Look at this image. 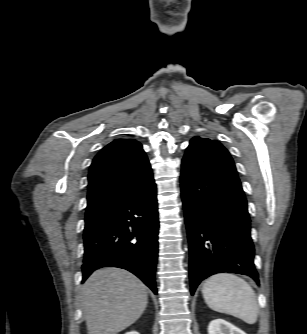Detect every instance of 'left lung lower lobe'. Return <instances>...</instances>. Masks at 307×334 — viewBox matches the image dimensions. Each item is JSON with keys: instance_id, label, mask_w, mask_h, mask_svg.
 I'll use <instances>...</instances> for the list:
<instances>
[{"instance_id": "obj_1", "label": "left lung lower lobe", "mask_w": 307, "mask_h": 334, "mask_svg": "<svg viewBox=\"0 0 307 334\" xmlns=\"http://www.w3.org/2000/svg\"><path fill=\"white\" fill-rule=\"evenodd\" d=\"M180 181L191 294L203 279L219 272L248 275L259 283L241 183L188 169H182Z\"/></svg>"}]
</instances>
